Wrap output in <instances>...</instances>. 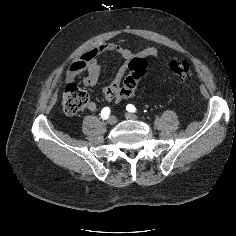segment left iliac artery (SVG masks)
Masks as SVG:
<instances>
[{"label":"left iliac artery","instance_id":"44dca946","mask_svg":"<svg viewBox=\"0 0 236 236\" xmlns=\"http://www.w3.org/2000/svg\"><path fill=\"white\" fill-rule=\"evenodd\" d=\"M126 109H127V111H129V112H136V108H135V106L134 105H132V104H128L127 106H126Z\"/></svg>","mask_w":236,"mask_h":236}]
</instances>
